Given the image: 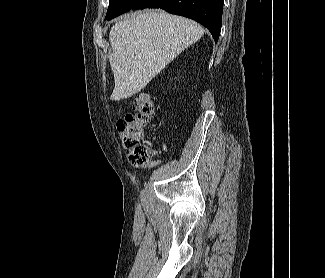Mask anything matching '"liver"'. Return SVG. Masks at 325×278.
<instances>
[{"label": "liver", "mask_w": 325, "mask_h": 278, "mask_svg": "<svg viewBox=\"0 0 325 278\" xmlns=\"http://www.w3.org/2000/svg\"><path fill=\"white\" fill-rule=\"evenodd\" d=\"M204 32L195 21L162 10L125 16L109 33V60L115 81L110 99L119 101L140 92Z\"/></svg>", "instance_id": "obj_1"}]
</instances>
